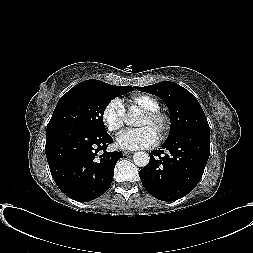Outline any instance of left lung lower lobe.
Instances as JSON below:
<instances>
[{"label": "left lung lower lobe", "mask_w": 253, "mask_h": 253, "mask_svg": "<svg viewBox=\"0 0 253 253\" xmlns=\"http://www.w3.org/2000/svg\"><path fill=\"white\" fill-rule=\"evenodd\" d=\"M209 154L210 132L191 130L179 133L149 154L148 165L139 171L142 184L159 200H177L198 184Z\"/></svg>", "instance_id": "left-lung-lower-lobe-1"}]
</instances>
